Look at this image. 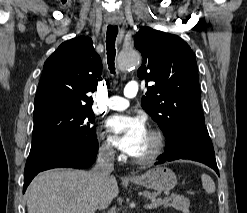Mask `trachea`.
I'll use <instances>...</instances> for the list:
<instances>
[{"mask_svg": "<svg viewBox=\"0 0 247 213\" xmlns=\"http://www.w3.org/2000/svg\"><path fill=\"white\" fill-rule=\"evenodd\" d=\"M118 34V27L108 25L106 37L107 62L111 73L115 74L114 60H115V40Z\"/></svg>", "mask_w": 247, "mask_h": 213, "instance_id": "obj_1", "label": "trachea"}]
</instances>
